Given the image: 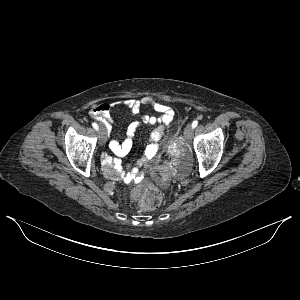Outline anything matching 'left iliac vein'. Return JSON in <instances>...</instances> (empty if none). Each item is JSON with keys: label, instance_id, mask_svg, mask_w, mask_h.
Masks as SVG:
<instances>
[{"label": "left iliac vein", "instance_id": "left-iliac-vein-1", "mask_svg": "<svg viewBox=\"0 0 300 300\" xmlns=\"http://www.w3.org/2000/svg\"><path fill=\"white\" fill-rule=\"evenodd\" d=\"M192 136H193V127L191 124H187V126L184 129V137L187 140H191Z\"/></svg>", "mask_w": 300, "mask_h": 300}]
</instances>
